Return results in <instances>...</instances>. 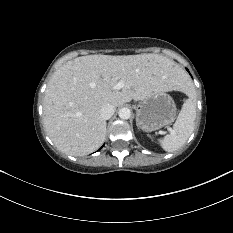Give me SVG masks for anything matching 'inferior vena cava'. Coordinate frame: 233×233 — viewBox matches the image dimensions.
Returning a JSON list of instances; mask_svg holds the SVG:
<instances>
[{
	"instance_id": "602c4592",
	"label": "inferior vena cava",
	"mask_w": 233,
	"mask_h": 233,
	"mask_svg": "<svg viewBox=\"0 0 233 233\" xmlns=\"http://www.w3.org/2000/svg\"><path fill=\"white\" fill-rule=\"evenodd\" d=\"M115 112V106L112 104H106L100 109V115L103 119L108 120Z\"/></svg>"
}]
</instances>
